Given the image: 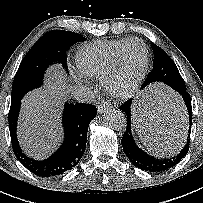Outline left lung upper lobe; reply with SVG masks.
I'll use <instances>...</instances> for the list:
<instances>
[{
  "mask_svg": "<svg viewBox=\"0 0 203 203\" xmlns=\"http://www.w3.org/2000/svg\"><path fill=\"white\" fill-rule=\"evenodd\" d=\"M151 47L154 53L153 69L148 75L145 81V84L147 85L150 82L160 81L168 85H171L166 80V78L170 77L169 73L171 71H175V73L178 75L176 77L178 78L181 77L175 63L160 47H158L154 43H151ZM183 85L185 86L184 80H183ZM185 89H186V86H185Z\"/></svg>",
  "mask_w": 203,
  "mask_h": 203,
  "instance_id": "1",
  "label": "left lung upper lobe"
}]
</instances>
